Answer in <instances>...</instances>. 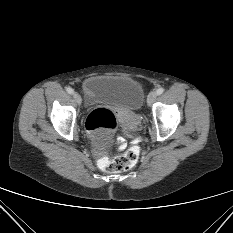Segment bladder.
I'll return each instance as SVG.
<instances>
[{
    "label": "bladder",
    "mask_w": 233,
    "mask_h": 233,
    "mask_svg": "<svg viewBox=\"0 0 233 233\" xmlns=\"http://www.w3.org/2000/svg\"><path fill=\"white\" fill-rule=\"evenodd\" d=\"M82 86L89 105H110L125 110H137L144 99L140 84L128 76H90L83 81ZM91 141L97 151H104L111 145L110 139L96 135L92 136Z\"/></svg>",
    "instance_id": "1"
}]
</instances>
